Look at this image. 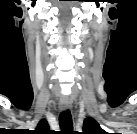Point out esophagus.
I'll use <instances>...</instances> for the list:
<instances>
[{
    "instance_id": "obj_1",
    "label": "esophagus",
    "mask_w": 137,
    "mask_h": 134,
    "mask_svg": "<svg viewBox=\"0 0 137 134\" xmlns=\"http://www.w3.org/2000/svg\"><path fill=\"white\" fill-rule=\"evenodd\" d=\"M60 107L64 111L69 110L71 108L70 100L66 97H61L60 98Z\"/></svg>"
}]
</instances>
